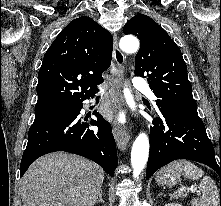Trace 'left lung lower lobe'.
<instances>
[{
  "label": "left lung lower lobe",
  "mask_w": 221,
  "mask_h": 206,
  "mask_svg": "<svg viewBox=\"0 0 221 206\" xmlns=\"http://www.w3.org/2000/svg\"><path fill=\"white\" fill-rule=\"evenodd\" d=\"M177 159L204 163L220 175L221 181V161L219 166L213 145L199 116L161 112V118H154L150 127L147 179L156 170Z\"/></svg>",
  "instance_id": "left-lung-lower-lobe-1"
}]
</instances>
